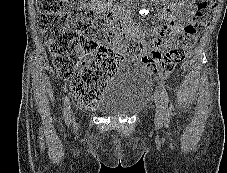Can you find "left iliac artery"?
Returning <instances> with one entry per match:
<instances>
[{"mask_svg": "<svg viewBox=\"0 0 227 173\" xmlns=\"http://www.w3.org/2000/svg\"><path fill=\"white\" fill-rule=\"evenodd\" d=\"M158 88H159V92H160V97L162 100V104H163V110H164V114H165V121L168 122L170 114H171V108L169 107V95L167 93V90L165 88V86L159 82L158 83Z\"/></svg>", "mask_w": 227, "mask_h": 173, "instance_id": "1", "label": "left iliac artery"}]
</instances>
